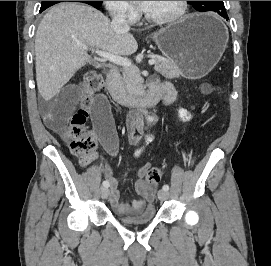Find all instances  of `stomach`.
Returning a JSON list of instances; mask_svg holds the SVG:
<instances>
[{
  "mask_svg": "<svg viewBox=\"0 0 271 266\" xmlns=\"http://www.w3.org/2000/svg\"><path fill=\"white\" fill-rule=\"evenodd\" d=\"M159 50L175 62L187 79L206 76L218 63L229 39L228 30L211 14H193L152 34Z\"/></svg>",
  "mask_w": 271,
  "mask_h": 266,
  "instance_id": "obj_1",
  "label": "stomach"
}]
</instances>
